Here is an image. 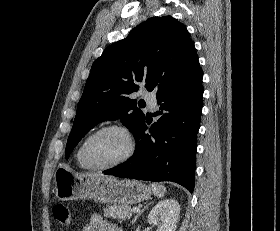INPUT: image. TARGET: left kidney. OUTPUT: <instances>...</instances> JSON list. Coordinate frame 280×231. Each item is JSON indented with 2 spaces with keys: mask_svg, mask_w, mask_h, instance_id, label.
Wrapping results in <instances>:
<instances>
[{
  "mask_svg": "<svg viewBox=\"0 0 280 231\" xmlns=\"http://www.w3.org/2000/svg\"><path fill=\"white\" fill-rule=\"evenodd\" d=\"M180 205L177 199H161L148 215L149 223L158 225V231H175Z\"/></svg>",
  "mask_w": 280,
  "mask_h": 231,
  "instance_id": "obj_1",
  "label": "left kidney"
}]
</instances>
